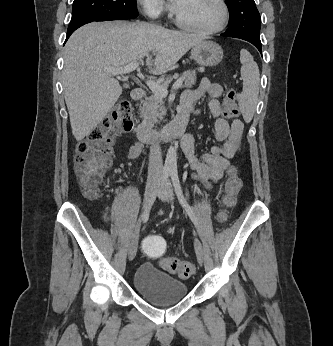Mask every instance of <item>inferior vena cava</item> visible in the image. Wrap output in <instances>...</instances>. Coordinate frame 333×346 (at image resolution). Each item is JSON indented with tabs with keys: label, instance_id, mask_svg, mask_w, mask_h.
<instances>
[{
	"label": "inferior vena cava",
	"instance_id": "obj_1",
	"mask_svg": "<svg viewBox=\"0 0 333 346\" xmlns=\"http://www.w3.org/2000/svg\"><path fill=\"white\" fill-rule=\"evenodd\" d=\"M163 170V160L161 155V147L154 140L150 147L148 179L159 177Z\"/></svg>",
	"mask_w": 333,
	"mask_h": 346
}]
</instances>
